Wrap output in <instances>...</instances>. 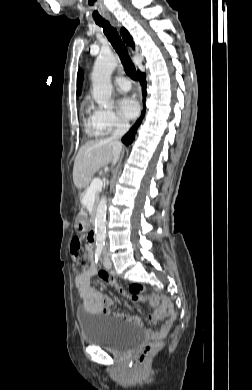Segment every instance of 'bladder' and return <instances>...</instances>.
Segmentation results:
<instances>
[{"label": "bladder", "instance_id": "obj_1", "mask_svg": "<svg viewBox=\"0 0 252 390\" xmlns=\"http://www.w3.org/2000/svg\"><path fill=\"white\" fill-rule=\"evenodd\" d=\"M78 321L85 343L107 350L122 352L136 347L144 338L143 329L135 324L125 323L102 315L92 316L79 311Z\"/></svg>", "mask_w": 252, "mask_h": 390}]
</instances>
